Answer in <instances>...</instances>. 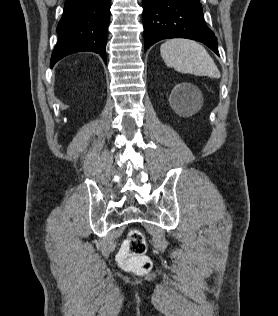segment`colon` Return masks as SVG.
Instances as JSON below:
<instances>
[{"instance_id": "5ec220e1", "label": "colon", "mask_w": 278, "mask_h": 316, "mask_svg": "<svg viewBox=\"0 0 278 316\" xmlns=\"http://www.w3.org/2000/svg\"><path fill=\"white\" fill-rule=\"evenodd\" d=\"M146 251L147 242L144 234L138 229H131L119 250L118 262L127 270L146 273L152 268Z\"/></svg>"}]
</instances>
